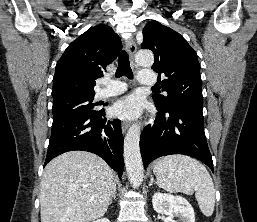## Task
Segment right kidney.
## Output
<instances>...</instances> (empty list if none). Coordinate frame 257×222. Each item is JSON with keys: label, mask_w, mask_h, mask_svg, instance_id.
<instances>
[{"label": "right kidney", "mask_w": 257, "mask_h": 222, "mask_svg": "<svg viewBox=\"0 0 257 222\" xmlns=\"http://www.w3.org/2000/svg\"><path fill=\"white\" fill-rule=\"evenodd\" d=\"M93 222H110V221L107 218H102V219H98V220L93 221Z\"/></svg>", "instance_id": "ca27d5eb"}]
</instances>
